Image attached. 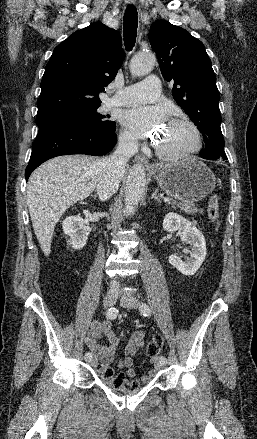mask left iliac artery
I'll list each match as a JSON object with an SVG mask.
<instances>
[{
	"label": "left iliac artery",
	"mask_w": 257,
	"mask_h": 439,
	"mask_svg": "<svg viewBox=\"0 0 257 439\" xmlns=\"http://www.w3.org/2000/svg\"><path fill=\"white\" fill-rule=\"evenodd\" d=\"M139 308H140V311L143 314V316H150L151 309H150V307L147 304L142 303ZM159 362L167 363L166 357L165 356H161L159 358Z\"/></svg>",
	"instance_id": "44dca946"
}]
</instances>
